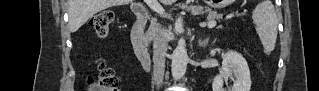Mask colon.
Returning <instances> with one entry per match:
<instances>
[{"instance_id":"obj_1","label":"colon","mask_w":319,"mask_h":91,"mask_svg":"<svg viewBox=\"0 0 319 91\" xmlns=\"http://www.w3.org/2000/svg\"><path fill=\"white\" fill-rule=\"evenodd\" d=\"M114 21L112 12H100L94 15L90 20L91 27L95 30L97 35L105 36L109 32V28ZM118 86V79L114 73L105 66L100 64L99 73L96 77H89L86 83L87 91H116Z\"/></svg>"}]
</instances>
